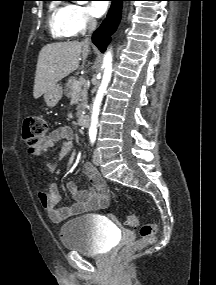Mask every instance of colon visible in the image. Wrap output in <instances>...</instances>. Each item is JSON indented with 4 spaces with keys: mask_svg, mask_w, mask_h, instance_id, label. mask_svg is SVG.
Returning <instances> with one entry per match:
<instances>
[{
    "mask_svg": "<svg viewBox=\"0 0 216 285\" xmlns=\"http://www.w3.org/2000/svg\"><path fill=\"white\" fill-rule=\"evenodd\" d=\"M48 134V124L40 116L27 117L22 126V137L27 146L28 152L32 155L41 153V146ZM126 225L130 228H136L139 225V217L131 213L126 218ZM158 230L155 222H150L140 228L139 239L129 242L121 251L120 260H123L134 252L151 245Z\"/></svg>",
    "mask_w": 216,
    "mask_h": 285,
    "instance_id": "colon-1",
    "label": "colon"
}]
</instances>
